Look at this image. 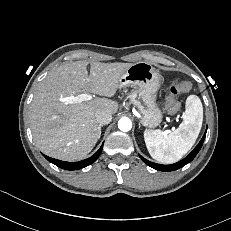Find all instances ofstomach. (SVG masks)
Returning a JSON list of instances; mask_svg holds the SVG:
<instances>
[{"label":"stomach","mask_w":231,"mask_h":231,"mask_svg":"<svg viewBox=\"0 0 231 231\" xmlns=\"http://www.w3.org/2000/svg\"><path fill=\"white\" fill-rule=\"evenodd\" d=\"M119 83L120 87L133 88L130 100L140 112L141 124L148 128L160 125L163 115L156 103L160 83L154 67L147 62L134 63L121 75Z\"/></svg>","instance_id":"obj_1"}]
</instances>
